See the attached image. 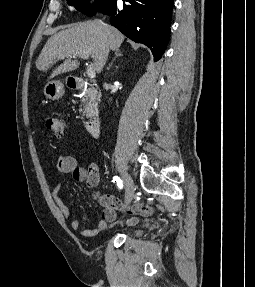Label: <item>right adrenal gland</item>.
Returning a JSON list of instances; mask_svg holds the SVG:
<instances>
[{
	"mask_svg": "<svg viewBox=\"0 0 255 287\" xmlns=\"http://www.w3.org/2000/svg\"><path fill=\"white\" fill-rule=\"evenodd\" d=\"M117 56H122V54H120V50H116L114 60H116ZM114 60H112L111 64H113Z\"/></svg>",
	"mask_w": 255,
	"mask_h": 287,
	"instance_id": "right-adrenal-gland-1",
	"label": "right adrenal gland"
}]
</instances>
